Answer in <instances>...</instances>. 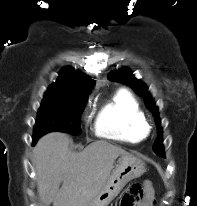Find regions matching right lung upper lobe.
<instances>
[{"label":"right lung upper lobe","mask_w":197,"mask_h":206,"mask_svg":"<svg viewBox=\"0 0 197 206\" xmlns=\"http://www.w3.org/2000/svg\"><path fill=\"white\" fill-rule=\"evenodd\" d=\"M94 84L95 81L90 77L66 67L46 93L89 95Z\"/></svg>","instance_id":"1"}]
</instances>
